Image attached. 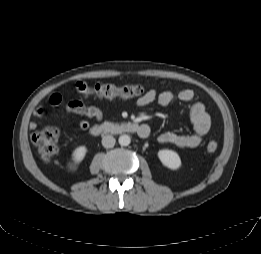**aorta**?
<instances>
[{
	"instance_id": "1",
	"label": "aorta",
	"mask_w": 261,
	"mask_h": 254,
	"mask_svg": "<svg viewBox=\"0 0 261 254\" xmlns=\"http://www.w3.org/2000/svg\"><path fill=\"white\" fill-rule=\"evenodd\" d=\"M118 142L121 146H128L131 142V138L128 135L123 134L119 137Z\"/></svg>"
}]
</instances>
